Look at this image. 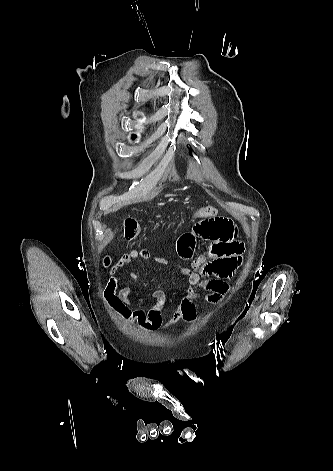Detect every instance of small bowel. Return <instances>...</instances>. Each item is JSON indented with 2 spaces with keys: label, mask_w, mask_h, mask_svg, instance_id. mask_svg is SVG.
Listing matches in <instances>:
<instances>
[{
  "label": "small bowel",
  "mask_w": 333,
  "mask_h": 471,
  "mask_svg": "<svg viewBox=\"0 0 333 471\" xmlns=\"http://www.w3.org/2000/svg\"><path fill=\"white\" fill-rule=\"evenodd\" d=\"M200 218L201 221L196 223L192 231L183 234L178 240L180 256L191 260L192 264L191 267H178L180 274L188 282L189 289L169 319L164 320L162 315L166 301L163 292H153L150 297L154 299V304L149 309H143L131 307L134 300L130 297L129 287L119 288V271L134 259L149 260L151 256L147 250H131L122 255L111 268L105 298L125 321L137 323L150 332L167 330L180 320L194 323L197 319L198 300L218 304L227 295L230 285L225 279L233 276L241 266L245 245L236 237V225L231 218L219 215ZM199 240L209 242L208 251L196 257L195 249ZM154 260L162 265L167 264V260L162 257H154ZM130 277L137 279L135 274Z\"/></svg>",
  "instance_id": "obj_1"
}]
</instances>
